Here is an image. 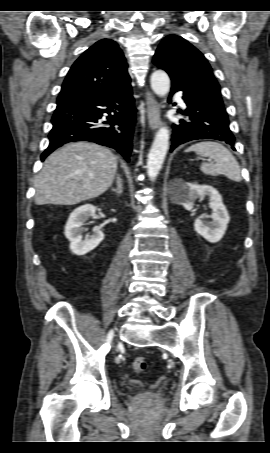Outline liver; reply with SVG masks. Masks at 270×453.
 Instances as JSON below:
<instances>
[{"label":"liver","instance_id":"obj_1","mask_svg":"<svg viewBox=\"0 0 270 453\" xmlns=\"http://www.w3.org/2000/svg\"><path fill=\"white\" fill-rule=\"evenodd\" d=\"M117 157L89 142L53 152L35 179L36 205H74L103 194L113 183Z\"/></svg>","mask_w":270,"mask_h":453}]
</instances>
